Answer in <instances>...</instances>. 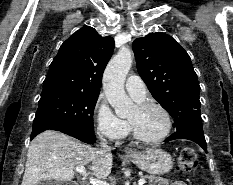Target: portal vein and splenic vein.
<instances>
[{
    "label": "portal vein and splenic vein",
    "instance_id": "portal-vein-and-splenic-vein-1",
    "mask_svg": "<svg viewBox=\"0 0 233 185\" xmlns=\"http://www.w3.org/2000/svg\"><path fill=\"white\" fill-rule=\"evenodd\" d=\"M76 171L84 177L87 176V173H86L84 166H77ZM89 181H90L91 185H109L106 181L99 180L96 178H89ZM145 183H146V180L143 178L138 181V185H144Z\"/></svg>",
    "mask_w": 233,
    "mask_h": 185
}]
</instances>
